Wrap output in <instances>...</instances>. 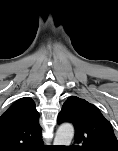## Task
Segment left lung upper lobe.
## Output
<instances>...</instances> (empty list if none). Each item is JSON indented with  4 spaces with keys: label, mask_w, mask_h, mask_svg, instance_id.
Here are the masks:
<instances>
[{
    "label": "left lung upper lobe",
    "mask_w": 118,
    "mask_h": 151,
    "mask_svg": "<svg viewBox=\"0 0 118 151\" xmlns=\"http://www.w3.org/2000/svg\"><path fill=\"white\" fill-rule=\"evenodd\" d=\"M70 122L75 128L77 151H118V141L111 123L93 104L70 96L63 104L57 123Z\"/></svg>",
    "instance_id": "left-lung-upper-lobe-1"
}]
</instances>
